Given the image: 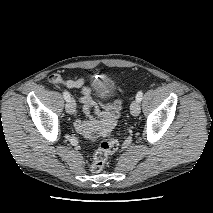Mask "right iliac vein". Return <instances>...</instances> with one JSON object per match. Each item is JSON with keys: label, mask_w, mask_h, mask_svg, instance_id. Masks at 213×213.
<instances>
[{"label": "right iliac vein", "mask_w": 213, "mask_h": 213, "mask_svg": "<svg viewBox=\"0 0 213 213\" xmlns=\"http://www.w3.org/2000/svg\"><path fill=\"white\" fill-rule=\"evenodd\" d=\"M65 109H66L67 113L74 114L76 111L75 101L73 99H70L69 101H67Z\"/></svg>", "instance_id": "63e3f726"}]
</instances>
